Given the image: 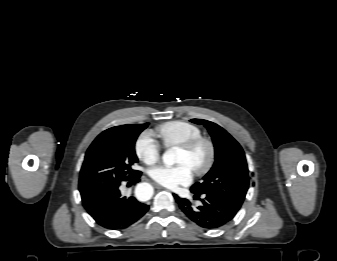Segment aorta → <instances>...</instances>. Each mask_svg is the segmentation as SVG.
<instances>
[{
  "label": "aorta",
  "instance_id": "762f6f07",
  "mask_svg": "<svg viewBox=\"0 0 337 261\" xmlns=\"http://www.w3.org/2000/svg\"><path fill=\"white\" fill-rule=\"evenodd\" d=\"M177 147H171L163 154V162L173 165L176 162ZM135 195L141 201L149 200L153 195V188L148 183H139L135 188Z\"/></svg>",
  "mask_w": 337,
  "mask_h": 261
}]
</instances>
